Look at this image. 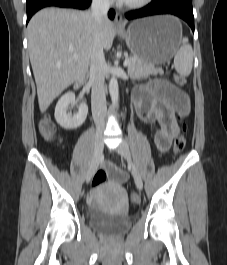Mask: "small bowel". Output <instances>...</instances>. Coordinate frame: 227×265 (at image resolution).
I'll use <instances>...</instances> for the list:
<instances>
[{"label": "small bowel", "instance_id": "small-bowel-1", "mask_svg": "<svg viewBox=\"0 0 227 265\" xmlns=\"http://www.w3.org/2000/svg\"><path fill=\"white\" fill-rule=\"evenodd\" d=\"M134 105L138 117L146 124H157L154 136L156 147L165 153L178 134L175 113L187 115L190 103L187 95L166 80L158 79L151 86H139L134 90ZM111 182L121 184L128 174L112 165L106 166Z\"/></svg>", "mask_w": 227, "mask_h": 265}]
</instances>
